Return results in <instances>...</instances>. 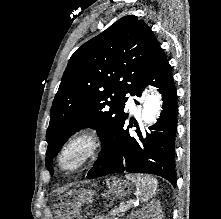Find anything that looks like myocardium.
<instances>
[{
	"mask_svg": "<svg viewBox=\"0 0 221 219\" xmlns=\"http://www.w3.org/2000/svg\"><path fill=\"white\" fill-rule=\"evenodd\" d=\"M81 146L83 154L77 164L72 168L64 166V159L70 151ZM101 149V138L96 131H85L71 137L61 148L57 157L58 169L64 174H75L89 165L98 155Z\"/></svg>",
	"mask_w": 221,
	"mask_h": 219,
	"instance_id": "obj_1",
	"label": "myocardium"
}]
</instances>
